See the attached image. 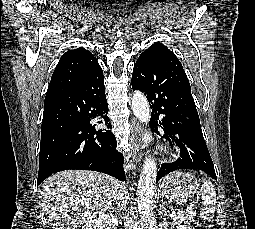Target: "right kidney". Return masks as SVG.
Returning a JSON list of instances; mask_svg holds the SVG:
<instances>
[{
	"instance_id": "ca27d5eb",
	"label": "right kidney",
	"mask_w": 255,
	"mask_h": 229,
	"mask_svg": "<svg viewBox=\"0 0 255 229\" xmlns=\"http://www.w3.org/2000/svg\"><path fill=\"white\" fill-rule=\"evenodd\" d=\"M118 219L112 214H102L85 223L82 229H117Z\"/></svg>"
}]
</instances>
